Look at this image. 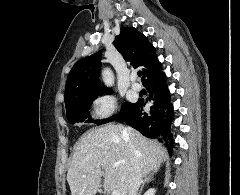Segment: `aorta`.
Here are the masks:
<instances>
[{
    "label": "aorta",
    "instance_id": "aorta-1",
    "mask_svg": "<svg viewBox=\"0 0 240 195\" xmlns=\"http://www.w3.org/2000/svg\"><path fill=\"white\" fill-rule=\"evenodd\" d=\"M102 80H103L105 86H108V88H110V86H113V84L115 82V78H114V74H113L112 70H110V68H104V70L102 72Z\"/></svg>",
    "mask_w": 240,
    "mask_h": 195
}]
</instances>
